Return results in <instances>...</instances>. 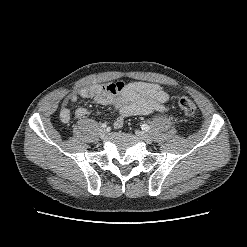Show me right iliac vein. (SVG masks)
Segmentation results:
<instances>
[{
	"label": "right iliac vein",
	"instance_id": "1",
	"mask_svg": "<svg viewBox=\"0 0 247 247\" xmlns=\"http://www.w3.org/2000/svg\"><path fill=\"white\" fill-rule=\"evenodd\" d=\"M106 133H107V131H106L105 128L101 127V128L99 129V134H100V137H101V138H104L105 135H106Z\"/></svg>",
	"mask_w": 247,
	"mask_h": 247
}]
</instances>
